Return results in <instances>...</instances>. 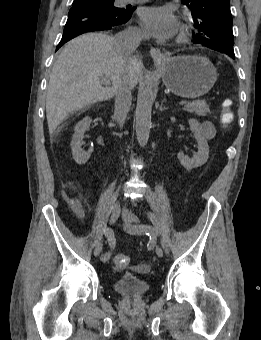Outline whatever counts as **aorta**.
Segmentation results:
<instances>
[{"label": "aorta", "instance_id": "aorta-1", "mask_svg": "<svg viewBox=\"0 0 261 340\" xmlns=\"http://www.w3.org/2000/svg\"><path fill=\"white\" fill-rule=\"evenodd\" d=\"M153 102V85L150 82L147 83L144 89L139 93L135 112V131L137 141L141 147H145L149 139Z\"/></svg>", "mask_w": 261, "mask_h": 340}]
</instances>
